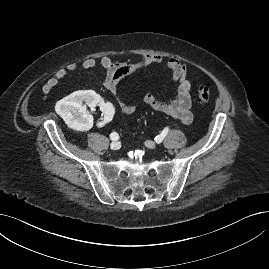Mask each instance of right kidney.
Wrapping results in <instances>:
<instances>
[{
  "label": "right kidney",
  "instance_id": "1",
  "mask_svg": "<svg viewBox=\"0 0 269 269\" xmlns=\"http://www.w3.org/2000/svg\"><path fill=\"white\" fill-rule=\"evenodd\" d=\"M83 102L89 107L98 105L99 111L103 114L93 120L92 116L86 111ZM55 108L65 123L77 130H88L90 128L101 130L111 123L115 113L112 101H102L101 97L93 91H76L57 102Z\"/></svg>",
  "mask_w": 269,
  "mask_h": 269
}]
</instances>
